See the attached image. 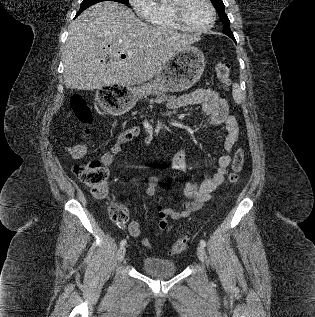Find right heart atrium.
<instances>
[{
  "mask_svg": "<svg viewBox=\"0 0 315 317\" xmlns=\"http://www.w3.org/2000/svg\"><path fill=\"white\" fill-rule=\"evenodd\" d=\"M129 4L138 16L148 19L154 7L153 0H129Z\"/></svg>",
  "mask_w": 315,
  "mask_h": 317,
  "instance_id": "d8ad5b80",
  "label": "right heart atrium"
}]
</instances>
